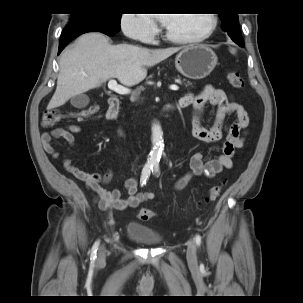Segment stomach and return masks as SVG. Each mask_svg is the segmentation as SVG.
<instances>
[{
    "instance_id": "1",
    "label": "stomach",
    "mask_w": 303,
    "mask_h": 303,
    "mask_svg": "<svg viewBox=\"0 0 303 303\" xmlns=\"http://www.w3.org/2000/svg\"><path fill=\"white\" fill-rule=\"evenodd\" d=\"M214 51L205 45L184 48L175 58L176 69L185 77L193 80L208 76L217 64Z\"/></svg>"
}]
</instances>
